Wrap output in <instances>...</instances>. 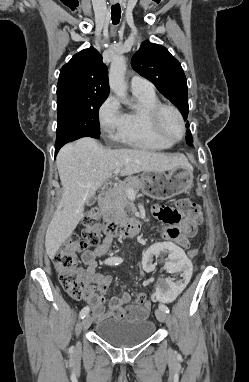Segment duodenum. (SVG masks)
Here are the masks:
<instances>
[{
  "mask_svg": "<svg viewBox=\"0 0 249 382\" xmlns=\"http://www.w3.org/2000/svg\"><path fill=\"white\" fill-rule=\"evenodd\" d=\"M98 199L100 208L104 210L107 205V193L101 192ZM141 227V221L134 217L109 219L105 225V232L113 237H131L139 233Z\"/></svg>",
  "mask_w": 249,
  "mask_h": 382,
  "instance_id": "duodenum-1",
  "label": "duodenum"
}]
</instances>
